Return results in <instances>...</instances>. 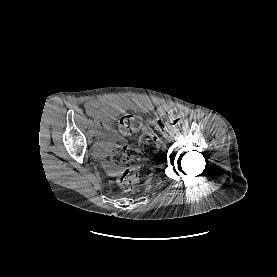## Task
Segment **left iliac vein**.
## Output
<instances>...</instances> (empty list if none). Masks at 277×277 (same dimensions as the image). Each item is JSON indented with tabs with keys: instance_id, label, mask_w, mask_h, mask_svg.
Returning a JSON list of instances; mask_svg holds the SVG:
<instances>
[{
	"instance_id": "left-iliac-vein-1",
	"label": "left iliac vein",
	"mask_w": 277,
	"mask_h": 277,
	"mask_svg": "<svg viewBox=\"0 0 277 277\" xmlns=\"http://www.w3.org/2000/svg\"><path fill=\"white\" fill-rule=\"evenodd\" d=\"M175 134L173 132H170L168 136H166L165 140L166 142H170L172 139H174Z\"/></svg>"
}]
</instances>
